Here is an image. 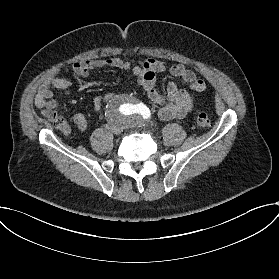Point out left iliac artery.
<instances>
[{"instance_id": "left-iliac-artery-1", "label": "left iliac artery", "mask_w": 279, "mask_h": 279, "mask_svg": "<svg viewBox=\"0 0 279 279\" xmlns=\"http://www.w3.org/2000/svg\"><path fill=\"white\" fill-rule=\"evenodd\" d=\"M141 115H143L144 118H150V110L147 108L145 105L142 106L141 108Z\"/></svg>"}]
</instances>
